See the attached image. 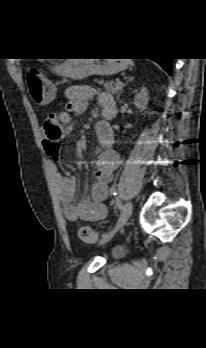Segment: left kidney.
Instances as JSON below:
<instances>
[{"instance_id":"obj_1","label":"left kidney","mask_w":206,"mask_h":348,"mask_svg":"<svg viewBox=\"0 0 206 348\" xmlns=\"http://www.w3.org/2000/svg\"><path fill=\"white\" fill-rule=\"evenodd\" d=\"M149 102V94L145 88H142L139 93L135 95L133 104L141 110H145L147 108Z\"/></svg>"}]
</instances>
